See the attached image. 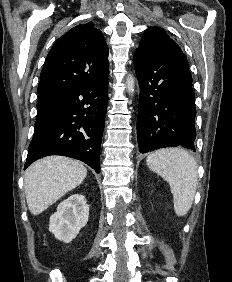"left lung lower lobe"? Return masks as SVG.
Returning a JSON list of instances; mask_svg holds the SVG:
<instances>
[{"label": "left lung lower lobe", "instance_id": "1", "mask_svg": "<svg viewBox=\"0 0 232 282\" xmlns=\"http://www.w3.org/2000/svg\"><path fill=\"white\" fill-rule=\"evenodd\" d=\"M133 62L140 87V153L175 146L195 152V94L183 52L172 48L157 53L136 49Z\"/></svg>", "mask_w": 232, "mask_h": 282}]
</instances>
